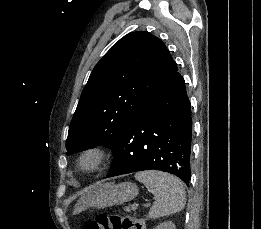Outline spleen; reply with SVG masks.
Segmentation results:
<instances>
[{"instance_id":"3e777b00","label":"spleen","mask_w":261,"mask_h":229,"mask_svg":"<svg viewBox=\"0 0 261 229\" xmlns=\"http://www.w3.org/2000/svg\"><path fill=\"white\" fill-rule=\"evenodd\" d=\"M135 179L143 183L149 193L155 195L156 201L150 209L149 219L168 217L183 211L186 205L184 183L163 171H140Z\"/></svg>"}]
</instances>
